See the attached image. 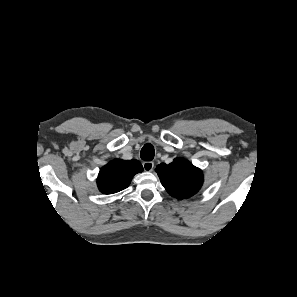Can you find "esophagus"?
I'll use <instances>...</instances> for the list:
<instances>
[{"label":"esophagus","mask_w":297,"mask_h":297,"mask_svg":"<svg viewBox=\"0 0 297 297\" xmlns=\"http://www.w3.org/2000/svg\"><path fill=\"white\" fill-rule=\"evenodd\" d=\"M143 168H144L146 171H152L153 168H154V163L151 162V161H145V162H143Z\"/></svg>","instance_id":"esophagus-1"}]
</instances>
